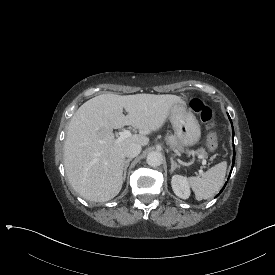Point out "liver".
<instances>
[{"label": "liver", "instance_id": "obj_1", "mask_svg": "<svg viewBox=\"0 0 275 275\" xmlns=\"http://www.w3.org/2000/svg\"><path fill=\"white\" fill-rule=\"evenodd\" d=\"M175 103L185 105L175 95L103 94L81 105L72 116L64 143L65 172L73 189L95 202L115 197L122 187L124 148L130 143L146 145L148 138L134 135L114 144L112 129L125 125L156 129Z\"/></svg>", "mask_w": 275, "mask_h": 275}]
</instances>
